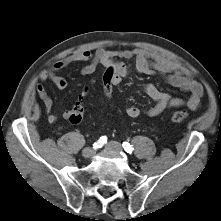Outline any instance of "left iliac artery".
<instances>
[{
	"label": "left iliac artery",
	"mask_w": 221,
	"mask_h": 221,
	"mask_svg": "<svg viewBox=\"0 0 221 221\" xmlns=\"http://www.w3.org/2000/svg\"><path fill=\"white\" fill-rule=\"evenodd\" d=\"M123 148L125 149V151L127 152V153H132V151H133V148H132V146L128 143V142H123Z\"/></svg>",
	"instance_id": "left-iliac-artery-1"
}]
</instances>
